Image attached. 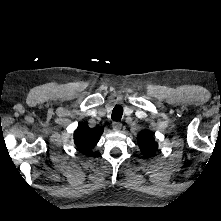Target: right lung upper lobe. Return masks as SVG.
<instances>
[{
    "mask_svg": "<svg viewBox=\"0 0 221 221\" xmlns=\"http://www.w3.org/2000/svg\"><path fill=\"white\" fill-rule=\"evenodd\" d=\"M103 133V128H90L87 124L82 123L78 126L74 133L75 145L84 153H89L97 144L100 136Z\"/></svg>",
    "mask_w": 221,
    "mask_h": 221,
    "instance_id": "right-lung-upper-lobe-1",
    "label": "right lung upper lobe"
}]
</instances>
